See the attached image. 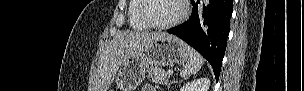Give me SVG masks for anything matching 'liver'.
<instances>
[{
	"label": "liver",
	"mask_w": 304,
	"mask_h": 91,
	"mask_svg": "<svg viewBox=\"0 0 304 91\" xmlns=\"http://www.w3.org/2000/svg\"><path fill=\"white\" fill-rule=\"evenodd\" d=\"M166 36L161 32H121L103 50L98 64L94 91H107L122 62L144 50L152 40Z\"/></svg>",
	"instance_id": "1"
}]
</instances>
